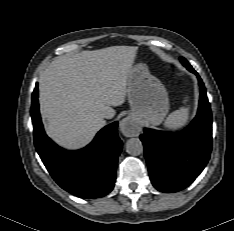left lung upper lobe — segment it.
Here are the masks:
<instances>
[{"label": "left lung upper lobe", "instance_id": "obj_1", "mask_svg": "<svg viewBox=\"0 0 234 231\" xmlns=\"http://www.w3.org/2000/svg\"><path fill=\"white\" fill-rule=\"evenodd\" d=\"M180 60L183 62H187L186 59H184V58H180Z\"/></svg>", "mask_w": 234, "mask_h": 231}]
</instances>
